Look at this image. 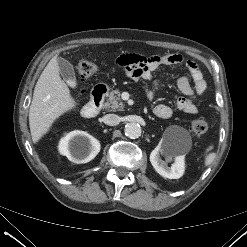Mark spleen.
Returning a JSON list of instances; mask_svg holds the SVG:
<instances>
[{
	"instance_id": "obj_1",
	"label": "spleen",
	"mask_w": 247,
	"mask_h": 247,
	"mask_svg": "<svg viewBox=\"0 0 247 247\" xmlns=\"http://www.w3.org/2000/svg\"><path fill=\"white\" fill-rule=\"evenodd\" d=\"M212 148H213L212 145L209 146V147L207 148V152L210 151ZM214 159H215V153H209V154H207V155L205 156V166L210 165V164L213 162Z\"/></svg>"
}]
</instances>
